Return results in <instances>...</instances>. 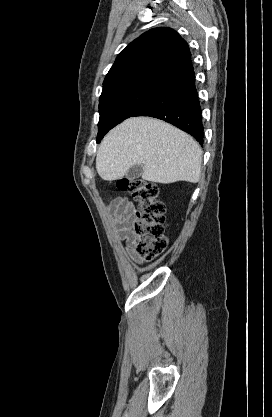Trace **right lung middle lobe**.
<instances>
[{"label":"right lung middle lobe","mask_w":272,"mask_h":417,"mask_svg":"<svg viewBox=\"0 0 272 417\" xmlns=\"http://www.w3.org/2000/svg\"><path fill=\"white\" fill-rule=\"evenodd\" d=\"M160 88L159 86L133 87L101 99L97 143L110 129L141 110Z\"/></svg>","instance_id":"right-lung-middle-lobe-1"}]
</instances>
